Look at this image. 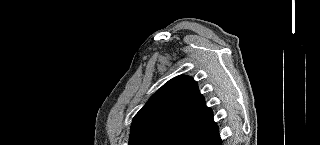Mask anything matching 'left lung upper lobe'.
<instances>
[{
    "label": "left lung upper lobe",
    "instance_id": "1",
    "mask_svg": "<svg viewBox=\"0 0 320 145\" xmlns=\"http://www.w3.org/2000/svg\"><path fill=\"white\" fill-rule=\"evenodd\" d=\"M212 115L196 81L189 76L174 77L135 115L129 145H178Z\"/></svg>",
    "mask_w": 320,
    "mask_h": 145
}]
</instances>
